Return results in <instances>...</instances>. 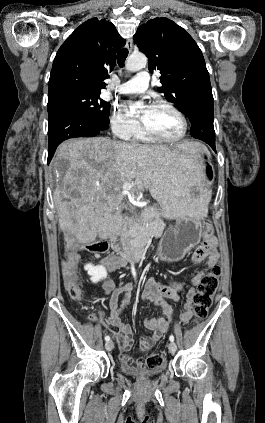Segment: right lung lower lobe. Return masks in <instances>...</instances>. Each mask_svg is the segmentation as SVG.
Returning a JSON list of instances; mask_svg holds the SVG:
<instances>
[{
	"mask_svg": "<svg viewBox=\"0 0 265 423\" xmlns=\"http://www.w3.org/2000/svg\"><path fill=\"white\" fill-rule=\"evenodd\" d=\"M108 125L84 112L73 108H57L48 112V163L57 146L64 140L74 137H94L106 130Z\"/></svg>",
	"mask_w": 265,
	"mask_h": 423,
	"instance_id": "right-lung-lower-lobe-1",
	"label": "right lung lower lobe"
}]
</instances>
